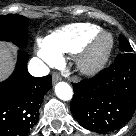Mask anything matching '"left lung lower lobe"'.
Listing matches in <instances>:
<instances>
[{
	"instance_id": "0a47b994",
	"label": "left lung lower lobe",
	"mask_w": 136,
	"mask_h": 136,
	"mask_svg": "<svg viewBox=\"0 0 136 136\" xmlns=\"http://www.w3.org/2000/svg\"><path fill=\"white\" fill-rule=\"evenodd\" d=\"M73 86L70 109L79 124L98 133L114 131L136 108V56L121 53L109 68Z\"/></svg>"
}]
</instances>
